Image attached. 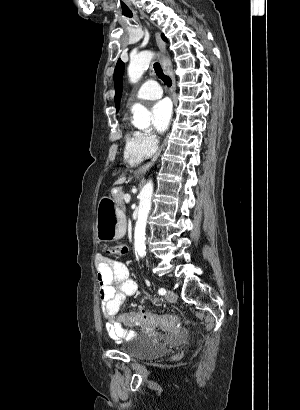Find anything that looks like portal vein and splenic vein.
<instances>
[{
  "label": "portal vein and splenic vein",
  "instance_id": "portal-vein-and-splenic-vein-1",
  "mask_svg": "<svg viewBox=\"0 0 300 410\" xmlns=\"http://www.w3.org/2000/svg\"><path fill=\"white\" fill-rule=\"evenodd\" d=\"M130 199H131V196L129 194L124 195V200H125L126 203H129Z\"/></svg>",
  "mask_w": 300,
  "mask_h": 410
}]
</instances>
